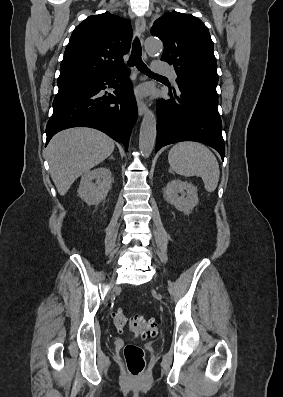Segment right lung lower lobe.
Here are the masks:
<instances>
[{"mask_svg":"<svg viewBox=\"0 0 283 397\" xmlns=\"http://www.w3.org/2000/svg\"><path fill=\"white\" fill-rule=\"evenodd\" d=\"M129 71L105 74L97 78L59 87L53 101V114L47 123V141L59 131L85 126L98 129L128 148L131 130L138 116ZM114 87V94L102 90Z\"/></svg>","mask_w":283,"mask_h":397,"instance_id":"98d812e1","label":"right lung lower lobe"}]
</instances>
